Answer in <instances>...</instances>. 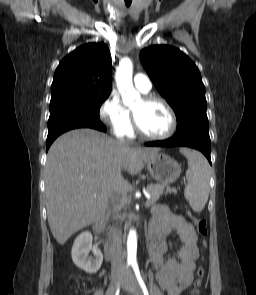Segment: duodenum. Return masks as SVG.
<instances>
[{
  "label": "duodenum",
  "mask_w": 256,
  "mask_h": 295,
  "mask_svg": "<svg viewBox=\"0 0 256 295\" xmlns=\"http://www.w3.org/2000/svg\"><path fill=\"white\" fill-rule=\"evenodd\" d=\"M102 230V225L100 223H97L94 227H93V232L97 235H100ZM105 251H106V255L108 257V259H112L113 257V249L110 246H106L105 247Z\"/></svg>",
  "instance_id": "duodenum-1"
}]
</instances>
